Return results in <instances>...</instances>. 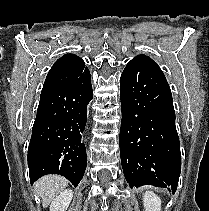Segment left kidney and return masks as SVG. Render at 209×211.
Instances as JSON below:
<instances>
[{
  "mask_svg": "<svg viewBox=\"0 0 209 211\" xmlns=\"http://www.w3.org/2000/svg\"><path fill=\"white\" fill-rule=\"evenodd\" d=\"M145 211H161L160 198L151 191H146L143 196Z\"/></svg>",
  "mask_w": 209,
  "mask_h": 211,
  "instance_id": "left-kidney-1",
  "label": "left kidney"
}]
</instances>
